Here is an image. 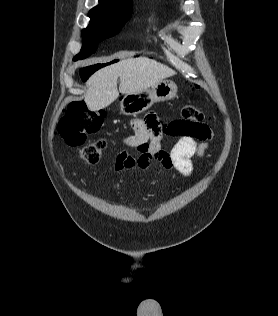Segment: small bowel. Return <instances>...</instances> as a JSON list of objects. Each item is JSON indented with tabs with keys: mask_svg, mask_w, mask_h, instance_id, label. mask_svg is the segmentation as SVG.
I'll list each match as a JSON object with an SVG mask.
<instances>
[{
	"mask_svg": "<svg viewBox=\"0 0 278 316\" xmlns=\"http://www.w3.org/2000/svg\"><path fill=\"white\" fill-rule=\"evenodd\" d=\"M131 127L133 134L125 137L123 143L136 149L137 154L121 151L114 162L117 173L134 168L146 173L151 162L156 161L166 170L190 176L194 170V159H203L212 139L211 131L205 126L199 136L182 135L171 149L166 150L161 141L165 133L171 134V124L164 125L157 115L149 113L143 120L133 119Z\"/></svg>",
	"mask_w": 278,
	"mask_h": 316,
	"instance_id": "small-bowel-1",
	"label": "small bowel"
}]
</instances>
